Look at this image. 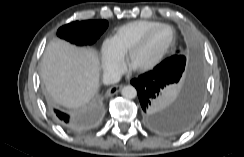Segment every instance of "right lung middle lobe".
Returning <instances> with one entry per match:
<instances>
[{
  "label": "right lung middle lobe",
  "mask_w": 244,
  "mask_h": 157,
  "mask_svg": "<svg viewBox=\"0 0 244 157\" xmlns=\"http://www.w3.org/2000/svg\"><path fill=\"white\" fill-rule=\"evenodd\" d=\"M108 26L106 20L72 22L58 29L57 35L78 45L92 44Z\"/></svg>",
  "instance_id": "obj_1"
}]
</instances>
